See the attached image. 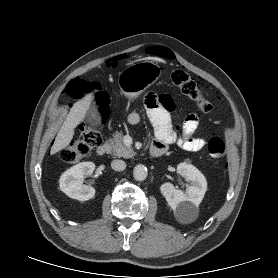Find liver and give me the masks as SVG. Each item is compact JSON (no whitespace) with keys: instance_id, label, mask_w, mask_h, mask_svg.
Returning a JSON list of instances; mask_svg holds the SVG:
<instances>
[{"instance_id":"liver-1","label":"liver","mask_w":278,"mask_h":278,"mask_svg":"<svg viewBox=\"0 0 278 278\" xmlns=\"http://www.w3.org/2000/svg\"><path fill=\"white\" fill-rule=\"evenodd\" d=\"M91 101L92 95L89 94L73 105L52 145L50 152L52 155L66 148L70 144L74 136V128L83 121L89 110Z\"/></svg>"}]
</instances>
